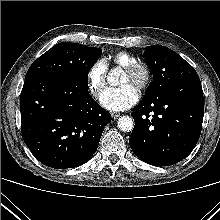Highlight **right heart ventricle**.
Masks as SVG:
<instances>
[{"label":"right heart ventricle","instance_id":"e07e8e85","mask_svg":"<svg viewBox=\"0 0 220 220\" xmlns=\"http://www.w3.org/2000/svg\"><path fill=\"white\" fill-rule=\"evenodd\" d=\"M108 60L115 66L126 68L129 65H132L138 62L137 58L125 51H119L111 54L108 57Z\"/></svg>","mask_w":220,"mask_h":220}]
</instances>
